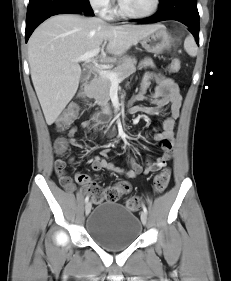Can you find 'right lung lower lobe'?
<instances>
[{
    "label": "right lung lower lobe",
    "mask_w": 231,
    "mask_h": 281,
    "mask_svg": "<svg viewBox=\"0 0 231 281\" xmlns=\"http://www.w3.org/2000/svg\"><path fill=\"white\" fill-rule=\"evenodd\" d=\"M64 13L93 15L88 0H30L26 17V42L44 20Z\"/></svg>",
    "instance_id": "1"
}]
</instances>
